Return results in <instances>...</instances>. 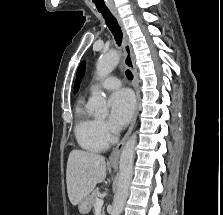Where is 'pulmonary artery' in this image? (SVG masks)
Returning <instances> with one entry per match:
<instances>
[{"instance_id":"1","label":"pulmonary artery","mask_w":223,"mask_h":215,"mask_svg":"<svg viewBox=\"0 0 223 215\" xmlns=\"http://www.w3.org/2000/svg\"><path fill=\"white\" fill-rule=\"evenodd\" d=\"M121 86V80L114 74L101 80L99 83H93L90 86V92L94 93L99 89H117Z\"/></svg>"}]
</instances>
